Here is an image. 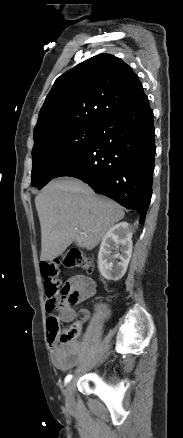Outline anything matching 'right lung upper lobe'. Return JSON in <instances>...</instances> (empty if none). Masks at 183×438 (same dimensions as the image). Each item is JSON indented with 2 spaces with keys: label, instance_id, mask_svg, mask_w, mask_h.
Segmentation results:
<instances>
[{
  "label": "right lung upper lobe",
  "instance_id": "cb5924a9",
  "mask_svg": "<svg viewBox=\"0 0 183 438\" xmlns=\"http://www.w3.org/2000/svg\"><path fill=\"white\" fill-rule=\"evenodd\" d=\"M145 97L126 63L112 55H96L57 78L39 112L34 140L61 129L97 126Z\"/></svg>",
  "mask_w": 183,
  "mask_h": 438
}]
</instances>
